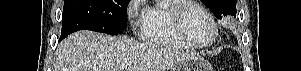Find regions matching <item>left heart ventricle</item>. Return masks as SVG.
Wrapping results in <instances>:
<instances>
[{
	"instance_id": "obj_1",
	"label": "left heart ventricle",
	"mask_w": 301,
	"mask_h": 71,
	"mask_svg": "<svg viewBox=\"0 0 301 71\" xmlns=\"http://www.w3.org/2000/svg\"><path fill=\"white\" fill-rule=\"evenodd\" d=\"M189 37L200 44L208 43L214 34L209 18L198 8H191L185 17Z\"/></svg>"
}]
</instances>
